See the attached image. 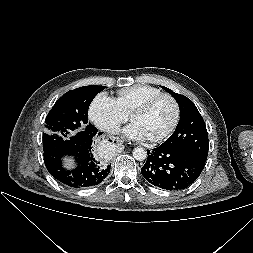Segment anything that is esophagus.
<instances>
[{
	"instance_id": "1",
	"label": "esophagus",
	"mask_w": 253,
	"mask_h": 253,
	"mask_svg": "<svg viewBox=\"0 0 253 253\" xmlns=\"http://www.w3.org/2000/svg\"><path fill=\"white\" fill-rule=\"evenodd\" d=\"M113 142H115L117 145H121V140H119L118 138H114L112 139Z\"/></svg>"
}]
</instances>
